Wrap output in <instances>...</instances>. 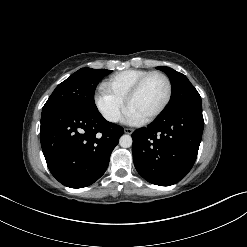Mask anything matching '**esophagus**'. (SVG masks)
<instances>
[{
    "label": "esophagus",
    "instance_id": "34e87169",
    "mask_svg": "<svg viewBox=\"0 0 247 247\" xmlns=\"http://www.w3.org/2000/svg\"><path fill=\"white\" fill-rule=\"evenodd\" d=\"M124 133L132 134L133 133V129L132 128H124Z\"/></svg>",
    "mask_w": 247,
    "mask_h": 247
}]
</instances>
